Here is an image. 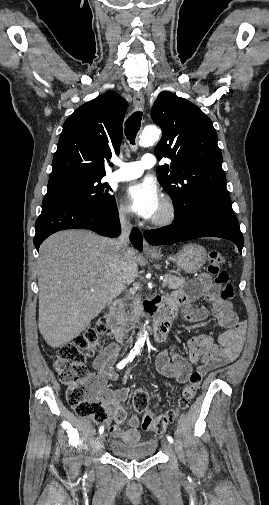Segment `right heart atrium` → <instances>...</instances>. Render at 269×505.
Masks as SVG:
<instances>
[{
	"label": "right heart atrium",
	"mask_w": 269,
	"mask_h": 505,
	"mask_svg": "<svg viewBox=\"0 0 269 505\" xmlns=\"http://www.w3.org/2000/svg\"><path fill=\"white\" fill-rule=\"evenodd\" d=\"M117 213H118L120 220L123 222L129 221L131 218V214H130L128 208L123 204H120L118 206Z\"/></svg>",
	"instance_id": "1"
}]
</instances>
